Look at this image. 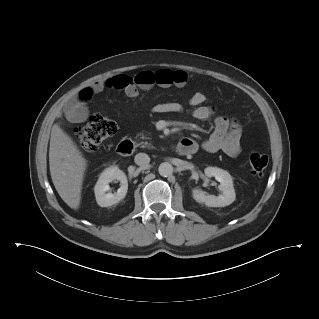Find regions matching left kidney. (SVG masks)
<instances>
[{"label":"left kidney","instance_id":"1","mask_svg":"<svg viewBox=\"0 0 319 319\" xmlns=\"http://www.w3.org/2000/svg\"><path fill=\"white\" fill-rule=\"evenodd\" d=\"M207 177H215L220 182L218 186L219 196L206 195L201 189H193V198L198 203H204L208 207H224L234 202L236 195L231 175L217 167H207L204 170Z\"/></svg>","mask_w":319,"mask_h":319}]
</instances>
